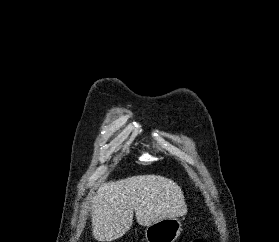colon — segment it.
Returning a JSON list of instances; mask_svg holds the SVG:
<instances>
[{
	"mask_svg": "<svg viewBox=\"0 0 279 242\" xmlns=\"http://www.w3.org/2000/svg\"><path fill=\"white\" fill-rule=\"evenodd\" d=\"M193 242H205L204 238H197Z\"/></svg>",
	"mask_w": 279,
	"mask_h": 242,
	"instance_id": "obj_1",
	"label": "colon"
}]
</instances>
